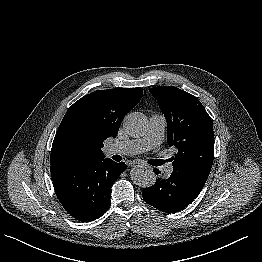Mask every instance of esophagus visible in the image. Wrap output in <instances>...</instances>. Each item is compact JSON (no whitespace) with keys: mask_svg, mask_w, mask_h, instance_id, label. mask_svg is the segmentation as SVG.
<instances>
[{"mask_svg":"<svg viewBox=\"0 0 262 262\" xmlns=\"http://www.w3.org/2000/svg\"><path fill=\"white\" fill-rule=\"evenodd\" d=\"M132 166H133V167H142V166L147 167V165L142 164L141 162H133V163H132ZM148 168H149V167H148Z\"/></svg>","mask_w":262,"mask_h":262,"instance_id":"1","label":"esophagus"}]
</instances>
